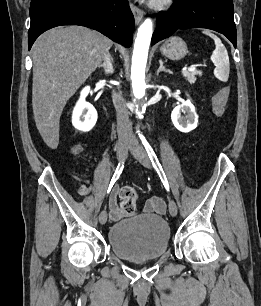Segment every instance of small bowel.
<instances>
[{
    "instance_id": "small-bowel-1",
    "label": "small bowel",
    "mask_w": 261,
    "mask_h": 306,
    "mask_svg": "<svg viewBox=\"0 0 261 306\" xmlns=\"http://www.w3.org/2000/svg\"><path fill=\"white\" fill-rule=\"evenodd\" d=\"M90 190L91 188L89 186L81 185L78 189V193L82 196H85L90 192ZM109 206H110V215L112 219L116 220L123 216V212L118 205L115 193L110 198ZM144 209L147 212L164 214L166 211V204L162 197L154 196L147 201Z\"/></svg>"
}]
</instances>
